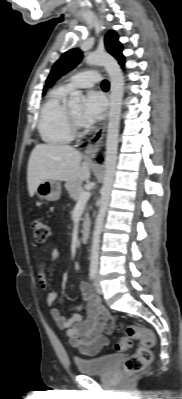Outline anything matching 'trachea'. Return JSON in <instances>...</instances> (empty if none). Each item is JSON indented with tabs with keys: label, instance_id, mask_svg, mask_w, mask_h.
<instances>
[{
	"label": "trachea",
	"instance_id": "3493384b",
	"mask_svg": "<svg viewBox=\"0 0 182 399\" xmlns=\"http://www.w3.org/2000/svg\"><path fill=\"white\" fill-rule=\"evenodd\" d=\"M101 87L104 89H109V82L107 80H104L101 84Z\"/></svg>",
	"mask_w": 182,
	"mask_h": 399
}]
</instances>
